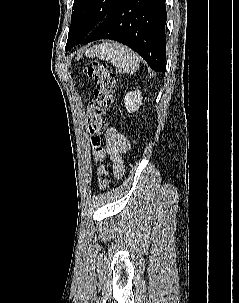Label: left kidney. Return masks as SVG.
<instances>
[{
	"label": "left kidney",
	"instance_id": "left-kidney-1",
	"mask_svg": "<svg viewBox=\"0 0 239 303\" xmlns=\"http://www.w3.org/2000/svg\"><path fill=\"white\" fill-rule=\"evenodd\" d=\"M124 104L128 113L137 111L142 104L141 92L139 90L128 92L124 97Z\"/></svg>",
	"mask_w": 239,
	"mask_h": 303
}]
</instances>
